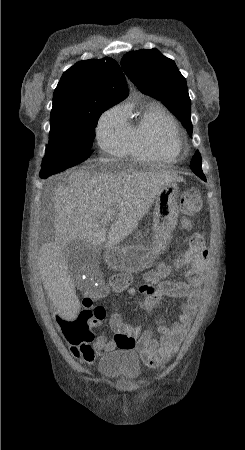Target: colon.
Wrapping results in <instances>:
<instances>
[{
	"label": "colon",
	"mask_w": 245,
	"mask_h": 450,
	"mask_svg": "<svg viewBox=\"0 0 245 450\" xmlns=\"http://www.w3.org/2000/svg\"><path fill=\"white\" fill-rule=\"evenodd\" d=\"M181 211L185 215H193L200 211L202 207V197L199 190L195 188L187 189L183 192L180 200ZM184 228H189L186 224ZM188 247L197 252L207 253L205 239L200 233H188L185 235ZM132 282L129 272H116L109 276L106 285L112 288H123ZM105 310L90 299L83 300V307L80 313L62 322L63 333L74 343H88L94 339L93 328L101 323L105 318ZM139 335V329L135 327L130 333L118 334V339L125 347L134 344Z\"/></svg>",
	"instance_id": "obj_1"
}]
</instances>
